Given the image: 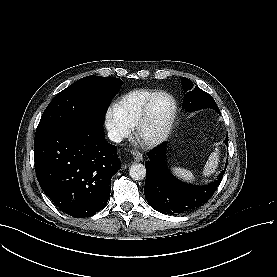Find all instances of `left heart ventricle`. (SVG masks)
<instances>
[{
  "label": "left heart ventricle",
  "instance_id": "left-heart-ventricle-1",
  "mask_svg": "<svg viewBox=\"0 0 277 277\" xmlns=\"http://www.w3.org/2000/svg\"><path fill=\"white\" fill-rule=\"evenodd\" d=\"M172 111L171 102L164 96H158L154 100L148 119L143 127L144 137L158 135L166 126Z\"/></svg>",
  "mask_w": 277,
  "mask_h": 277
}]
</instances>
